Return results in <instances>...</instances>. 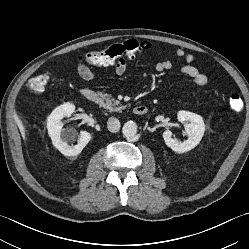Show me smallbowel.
I'll list each match as a JSON object with an SVG mask.
<instances>
[{"label": "small bowel", "instance_id": "small-bowel-1", "mask_svg": "<svg viewBox=\"0 0 249 249\" xmlns=\"http://www.w3.org/2000/svg\"><path fill=\"white\" fill-rule=\"evenodd\" d=\"M176 56L183 59L184 64L180 67V72L194 80L195 84L201 88L208 85L209 80L206 74L202 73L198 67L193 65L194 56L187 53L184 49L179 48L176 50ZM173 63L170 60L160 61L156 64V70L163 72L172 69ZM127 70V61L123 58L119 59L115 64V72L118 75H122ZM77 72L79 76L86 80L91 81L95 78V73L92 68L86 64L81 58L77 62Z\"/></svg>", "mask_w": 249, "mask_h": 249}]
</instances>
